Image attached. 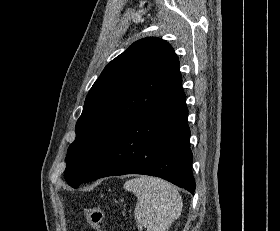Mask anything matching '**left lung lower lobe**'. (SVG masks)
<instances>
[{"label": "left lung lower lobe", "mask_w": 280, "mask_h": 231, "mask_svg": "<svg viewBox=\"0 0 280 231\" xmlns=\"http://www.w3.org/2000/svg\"><path fill=\"white\" fill-rule=\"evenodd\" d=\"M187 117L180 84L112 142L84 183L108 176L144 174L166 179L194 194Z\"/></svg>", "instance_id": "1"}]
</instances>
